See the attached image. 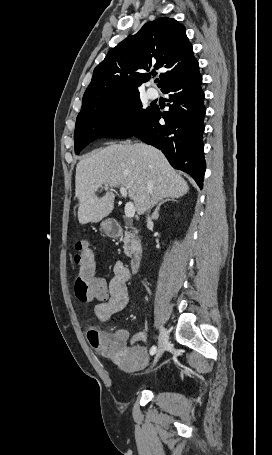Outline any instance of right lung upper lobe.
Instances as JSON below:
<instances>
[{
  "mask_svg": "<svg viewBox=\"0 0 272 455\" xmlns=\"http://www.w3.org/2000/svg\"><path fill=\"white\" fill-rule=\"evenodd\" d=\"M152 68L165 69L158 84L161 90L199 70L185 27L173 18L147 22L108 52L94 69L80 113L139 94L140 86L155 72L145 71Z\"/></svg>",
  "mask_w": 272,
  "mask_h": 455,
  "instance_id": "cb5924a9",
  "label": "right lung upper lobe"
}]
</instances>
